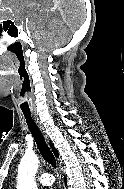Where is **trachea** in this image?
I'll return each instance as SVG.
<instances>
[{"label":"trachea","instance_id":"obj_1","mask_svg":"<svg viewBox=\"0 0 124 189\" xmlns=\"http://www.w3.org/2000/svg\"><path fill=\"white\" fill-rule=\"evenodd\" d=\"M24 117L26 119L27 125L29 127V130L37 144V147L42 155V157L45 159V161L50 164L53 168H56V159L51 152L50 148L48 147L42 132L40 131L39 127L33 120L30 112H23Z\"/></svg>","mask_w":124,"mask_h":189}]
</instances>
